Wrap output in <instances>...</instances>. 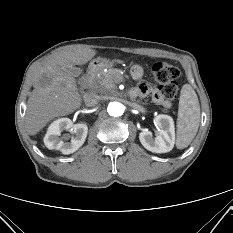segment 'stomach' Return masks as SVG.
Here are the masks:
<instances>
[{
	"mask_svg": "<svg viewBox=\"0 0 233 233\" xmlns=\"http://www.w3.org/2000/svg\"><path fill=\"white\" fill-rule=\"evenodd\" d=\"M112 63L103 58H95L90 62L89 67L91 69H102L105 66H111Z\"/></svg>",
	"mask_w": 233,
	"mask_h": 233,
	"instance_id": "obj_1",
	"label": "stomach"
}]
</instances>
